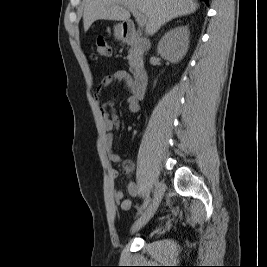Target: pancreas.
Returning <instances> with one entry per match:
<instances>
[{"label":"pancreas","mask_w":267,"mask_h":267,"mask_svg":"<svg viewBox=\"0 0 267 267\" xmlns=\"http://www.w3.org/2000/svg\"><path fill=\"white\" fill-rule=\"evenodd\" d=\"M142 55V49L139 46H131V48L129 49V55L127 57L129 61L130 71H132L142 61Z\"/></svg>","instance_id":"obj_1"}]
</instances>
